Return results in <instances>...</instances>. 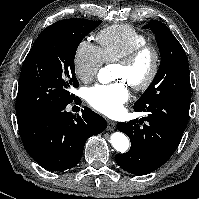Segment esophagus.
<instances>
[{"label": "esophagus", "mask_w": 199, "mask_h": 199, "mask_svg": "<svg viewBox=\"0 0 199 199\" xmlns=\"http://www.w3.org/2000/svg\"><path fill=\"white\" fill-rule=\"evenodd\" d=\"M107 129L108 130H114L116 128V123L112 120L107 121Z\"/></svg>", "instance_id": "esophagus-1"}]
</instances>
